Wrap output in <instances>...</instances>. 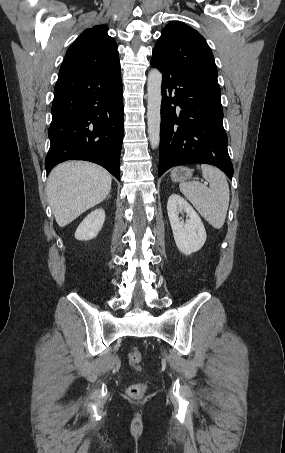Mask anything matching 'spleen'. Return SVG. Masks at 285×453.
Wrapping results in <instances>:
<instances>
[{
  "label": "spleen",
  "instance_id": "spleen-1",
  "mask_svg": "<svg viewBox=\"0 0 285 453\" xmlns=\"http://www.w3.org/2000/svg\"><path fill=\"white\" fill-rule=\"evenodd\" d=\"M209 182V188L197 181L181 182L179 187L200 215L215 229L223 227L230 200L226 176L218 168L203 164L197 166Z\"/></svg>",
  "mask_w": 285,
  "mask_h": 453
}]
</instances>
